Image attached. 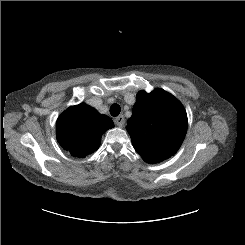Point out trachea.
Segmentation results:
<instances>
[{
    "instance_id": "obj_1",
    "label": "trachea",
    "mask_w": 245,
    "mask_h": 245,
    "mask_svg": "<svg viewBox=\"0 0 245 245\" xmlns=\"http://www.w3.org/2000/svg\"><path fill=\"white\" fill-rule=\"evenodd\" d=\"M121 108L118 104H113L110 107V113L112 116L116 117L120 114Z\"/></svg>"
}]
</instances>
